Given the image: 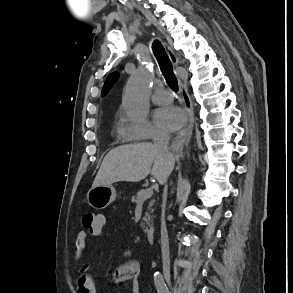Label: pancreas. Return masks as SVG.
Here are the masks:
<instances>
[{"instance_id":"pancreas-1","label":"pancreas","mask_w":293,"mask_h":293,"mask_svg":"<svg viewBox=\"0 0 293 293\" xmlns=\"http://www.w3.org/2000/svg\"><path fill=\"white\" fill-rule=\"evenodd\" d=\"M146 192V189H142L140 190L136 196H133L132 197V202L133 203H140V202H143L145 201L146 199H144V194ZM154 201L152 200L150 203H149V206H148V210L149 212H146L145 213V216L143 217V220L146 222V224L150 227V229H148V227L145 228V232L147 233H151L152 230H153V227L150 225V221H151V213L153 212V209H151L152 205H153Z\"/></svg>"}]
</instances>
